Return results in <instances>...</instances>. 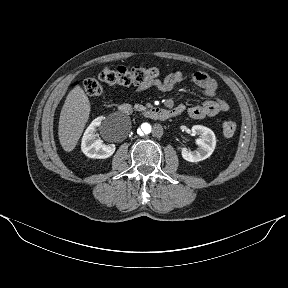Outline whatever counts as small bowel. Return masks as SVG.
Instances as JSON below:
<instances>
[{"label": "small bowel", "mask_w": 288, "mask_h": 288, "mask_svg": "<svg viewBox=\"0 0 288 288\" xmlns=\"http://www.w3.org/2000/svg\"><path fill=\"white\" fill-rule=\"evenodd\" d=\"M185 78L186 75L184 73L179 71L173 72L168 74L164 79L155 78L139 84L135 91L139 94L149 88H155L161 92H169ZM190 80L196 89L210 99L205 100L202 104L193 105L188 108L181 104L177 105L174 108L179 110L180 114L186 111L191 118L202 119L230 111V104L227 101L216 97L218 92L217 82L208 74L204 72H194L190 75Z\"/></svg>", "instance_id": "small-bowel-1"}]
</instances>
